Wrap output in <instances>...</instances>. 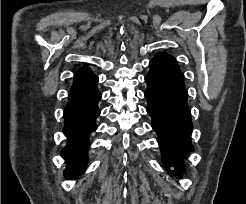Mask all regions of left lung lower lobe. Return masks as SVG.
I'll return each instance as SVG.
<instances>
[{"mask_svg":"<svg viewBox=\"0 0 246 204\" xmlns=\"http://www.w3.org/2000/svg\"><path fill=\"white\" fill-rule=\"evenodd\" d=\"M145 81L147 112L158 134L163 161L168 172L180 175L183 156L194 149L190 141L193 127L183 73L174 57L160 53L150 61Z\"/></svg>","mask_w":246,"mask_h":204,"instance_id":"1","label":"left lung lower lobe"}]
</instances>
